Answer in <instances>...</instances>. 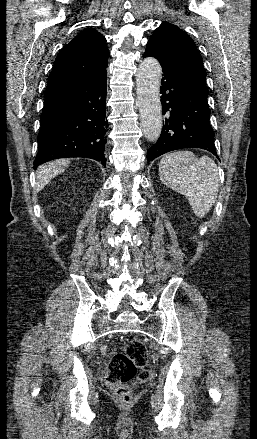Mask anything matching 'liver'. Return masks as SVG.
<instances>
[{
  "instance_id": "6515ba94",
  "label": "liver",
  "mask_w": 257,
  "mask_h": 439,
  "mask_svg": "<svg viewBox=\"0 0 257 439\" xmlns=\"http://www.w3.org/2000/svg\"><path fill=\"white\" fill-rule=\"evenodd\" d=\"M69 160H55L42 165L37 171V191H41L55 176L64 171Z\"/></svg>"
}]
</instances>
